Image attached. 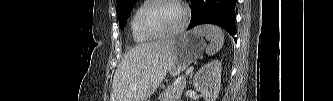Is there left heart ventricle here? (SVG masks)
Returning <instances> with one entry per match:
<instances>
[{"instance_id": "left-heart-ventricle-1", "label": "left heart ventricle", "mask_w": 333, "mask_h": 101, "mask_svg": "<svg viewBox=\"0 0 333 101\" xmlns=\"http://www.w3.org/2000/svg\"><path fill=\"white\" fill-rule=\"evenodd\" d=\"M182 19L179 7L170 2L154 6L147 15L149 27L158 33H167L178 27Z\"/></svg>"}]
</instances>
